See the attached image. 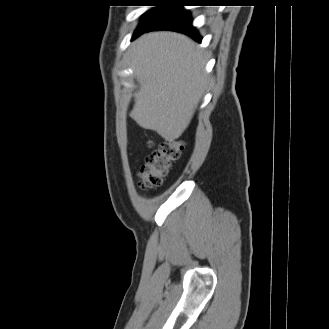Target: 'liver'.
Segmentation results:
<instances>
[{"label": "liver", "mask_w": 329, "mask_h": 329, "mask_svg": "<svg viewBox=\"0 0 329 329\" xmlns=\"http://www.w3.org/2000/svg\"><path fill=\"white\" fill-rule=\"evenodd\" d=\"M131 65L141 84L131 117L166 141L179 138L203 93V52L185 35L151 32L133 43Z\"/></svg>", "instance_id": "liver-1"}]
</instances>
